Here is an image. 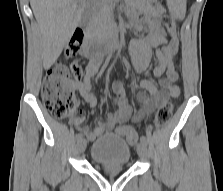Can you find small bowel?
<instances>
[{"label": "small bowel", "mask_w": 223, "mask_h": 191, "mask_svg": "<svg viewBox=\"0 0 223 191\" xmlns=\"http://www.w3.org/2000/svg\"><path fill=\"white\" fill-rule=\"evenodd\" d=\"M162 11L159 7L149 9L148 15L139 27L146 26L149 33L142 39L135 40L130 46V54L132 58L133 68L137 73H142L148 69L150 58L153 54L157 57V65L153 69L155 77L165 75V79L161 80V89L147 79L140 82V87L149 93V97L139 95L141 109L133 114L132 106L125 97L123 86L120 82L113 84L115 94L116 111L110 113L103 120L98 122V126L94 130L84 127L85 118L82 116L75 117L72 124L80 131L88 140L93 141L106 132L111 131L117 124L124 123L128 120L134 122L143 121L154 109L169 97L177 98L180 95L179 88L174 84L178 79L176 70H167V60L173 59L177 52L178 41L176 38L168 39L161 27L160 15ZM168 45L166 52L158 48L163 44ZM103 58H93L86 66L85 76L82 80L72 83V88L79 92L84 101L91 108L96 106L97 100L95 94L91 90V80L97 74Z\"/></svg>", "instance_id": "1"}]
</instances>
